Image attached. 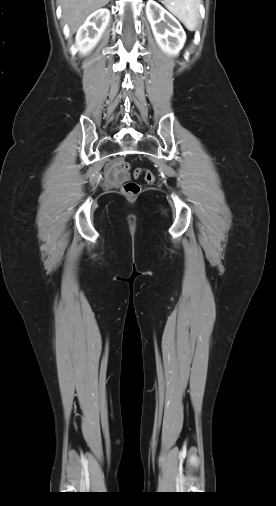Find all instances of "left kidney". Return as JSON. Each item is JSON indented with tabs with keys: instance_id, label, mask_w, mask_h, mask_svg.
Wrapping results in <instances>:
<instances>
[{
	"instance_id": "1",
	"label": "left kidney",
	"mask_w": 276,
	"mask_h": 506,
	"mask_svg": "<svg viewBox=\"0 0 276 506\" xmlns=\"http://www.w3.org/2000/svg\"><path fill=\"white\" fill-rule=\"evenodd\" d=\"M146 15L159 47L169 55H178L186 34L176 18L154 0L147 2Z\"/></svg>"
}]
</instances>
